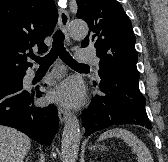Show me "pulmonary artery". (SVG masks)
I'll use <instances>...</instances> for the list:
<instances>
[{"label": "pulmonary artery", "instance_id": "1", "mask_svg": "<svg viewBox=\"0 0 168 162\" xmlns=\"http://www.w3.org/2000/svg\"><path fill=\"white\" fill-rule=\"evenodd\" d=\"M78 60L81 62L92 63L96 67H98V60L91 54L87 53L84 50H78Z\"/></svg>", "mask_w": 168, "mask_h": 162}]
</instances>
